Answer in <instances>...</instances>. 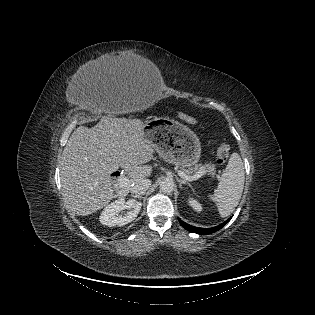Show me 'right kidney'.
Segmentation results:
<instances>
[{
  "mask_svg": "<svg viewBox=\"0 0 315 315\" xmlns=\"http://www.w3.org/2000/svg\"><path fill=\"white\" fill-rule=\"evenodd\" d=\"M141 206V202L136 200L130 199L125 201L123 198H120L105 207L100 215V222L110 227L124 226L137 217ZM125 210L127 212H124Z\"/></svg>",
  "mask_w": 315,
  "mask_h": 315,
  "instance_id": "1",
  "label": "right kidney"
}]
</instances>
